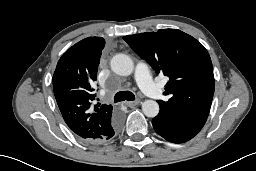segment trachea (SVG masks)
Instances as JSON below:
<instances>
[{
    "label": "trachea",
    "mask_w": 256,
    "mask_h": 171,
    "mask_svg": "<svg viewBox=\"0 0 256 171\" xmlns=\"http://www.w3.org/2000/svg\"><path fill=\"white\" fill-rule=\"evenodd\" d=\"M124 100L133 101L135 100V96L130 91H120L116 93V95L114 96V103L121 102Z\"/></svg>",
    "instance_id": "3493384b"
}]
</instances>
